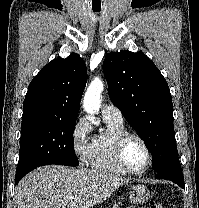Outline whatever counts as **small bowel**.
<instances>
[{
	"mask_svg": "<svg viewBox=\"0 0 199 208\" xmlns=\"http://www.w3.org/2000/svg\"><path fill=\"white\" fill-rule=\"evenodd\" d=\"M127 208H136V207H134V206H128Z\"/></svg>",
	"mask_w": 199,
	"mask_h": 208,
	"instance_id": "obj_1",
	"label": "small bowel"
}]
</instances>
